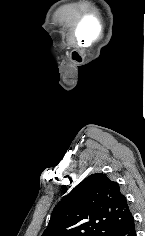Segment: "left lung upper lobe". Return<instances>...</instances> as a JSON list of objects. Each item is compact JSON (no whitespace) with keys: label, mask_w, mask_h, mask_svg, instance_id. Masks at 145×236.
Returning a JSON list of instances; mask_svg holds the SVG:
<instances>
[{"label":"left lung upper lobe","mask_w":145,"mask_h":236,"mask_svg":"<svg viewBox=\"0 0 145 236\" xmlns=\"http://www.w3.org/2000/svg\"><path fill=\"white\" fill-rule=\"evenodd\" d=\"M131 215L118 183L96 173L55 206L42 236H114Z\"/></svg>","instance_id":"5c2ea615"}]
</instances>
